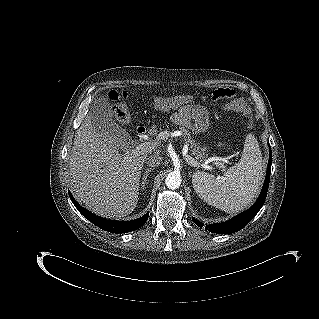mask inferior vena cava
I'll list each match as a JSON object with an SVG mask.
<instances>
[{
	"label": "inferior vena cava",
	"mask_w": 319,
	"mask_h": 319,
	"mask_svg": "<svg viewBox=\"0 0 319 319\" xmlns=\"http://www.w3.org/2000/svg\"><path fill=\"white\" fill-rule=\"evenodd\" d=\"M163 162V157L160 155H151L146 159V163L150 167H159Z\"/></svg>",
	"instance_id": "602c4592"
}]
</instances>
